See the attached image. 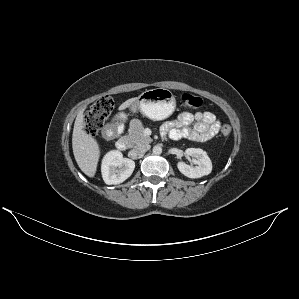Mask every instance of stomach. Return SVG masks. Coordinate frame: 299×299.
<instances>
[{
	"label": "stomach",
	"instance_id": "0dacf381",
	"mask_svg": "<svg viewBox=\"0 0 299 299\" xmlns=\"http://www.w3.org/2000/svg\"><path fill=\"white\" fill-rule=\"evenodd\" d=\"M176 100L173 93L165 88H156L143 92L132 109L139 110L152 120H163L175 110Z\"/></svg>",
	"mask_w": 299,
	"mask_h": 299
}]
</instances>
